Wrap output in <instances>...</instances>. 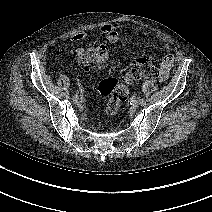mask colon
I'll list each match as a JSON object with an SVG mask.
<instances>
[{"label":"colon","instance_id":"obj_1","mask_svg":"<svg viewBox=\"0 0 212 212\" xmlns=\"http://www.w3.org/2000/svg\"><path fill=\"white\" fill-rule=\"evenodd\" d=\"M108 58V48L105 45H95L90 47L81 55L83 62L90 67L101 68ZM160 71L148 58H137L129 63L122 72V81L115 77H105L99 84V92L107 97L106 112L109 116H114L119 111L121 105L128 96L130 84L141 79L159 78Z\"/></svg>","mask_w":212,"mask_h":212}]
</instances>
